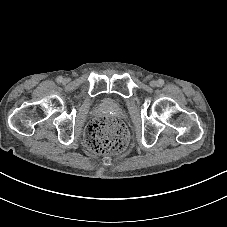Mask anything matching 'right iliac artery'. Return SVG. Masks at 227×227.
I'll return each mask as SVG.
<instances>
[{"instance_id": "right-iliac-artery-1", "label": "right iliac artery", "mask_w": 227, "mask_h": 227, "mask_svg": "<svg viewBox=\"0 0 227 227\" xmlns=\"http://www.w3.org/2000/svg\"><path fill=\"white\" fill-rule=\"evenodd\" d=\"M56 81L58 83H61L63 81V77L62 76H58L57 79H56Z\"/></svg>"}]
</instances>
